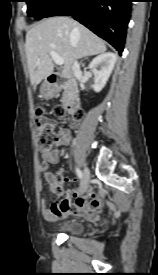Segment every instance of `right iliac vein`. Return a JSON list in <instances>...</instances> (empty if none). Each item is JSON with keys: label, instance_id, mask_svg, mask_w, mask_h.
Wrapping results in <instances>:
<instances>
[{"label": "right iliac vein", "instance_id": "1", "mask_svg": "<svg viewBox=\"0 0 158 275\" xmlns=\"http://www.w3.org/2000/svg\"><path fill=\"white\" fill-rule=\"evenodd\" d=\"M90 182V172L87 167L84 168V173H83V181H82V188L84 190H87Z\"/></svg>", "mask_w": 158, "mask_h": 275}]
</instances>
